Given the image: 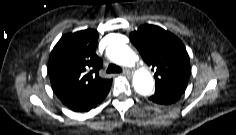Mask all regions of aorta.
I'll use <instances>...</instances> for the list:
<instances>
[{
    "mask_svg": "<svg viewBox=\"0 0 236 135\" xmlns=\"http://www.w3.org/2000/svg\"><path fill=\"white\" fill-rule=\"evenodd\" d=\"M108 58L119 65L133 67L139 61L133 50L123 43H112L107 47ZM133 86L137 93L149 95L153 89L152 75L145 69H138L133 75Z\"/></svg>",
    "mask_w": 236,
    "mask_h": 135,
    "instance_id": "1",
    "label": "aorta"
}]
</instances>
